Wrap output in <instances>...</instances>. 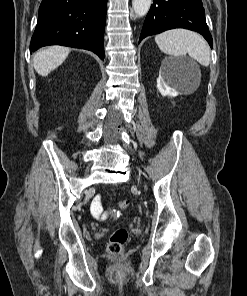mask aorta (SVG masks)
Returning <instances> with one entry per match:
<instances>
[{"mask_svg":"<svg viewBox=\"0 0 247 296\" xmlns=\"http://www.w3.org/2000/svg\"><path fill=\"white\" fill-rule=\"evenodd\" d=\"M152 0H132V8L138 17H143L149 11Z\"/></svg>","mask_w":247,"mask_h":296,"instance_id":"1","label":"aorta"}]
</instances>
